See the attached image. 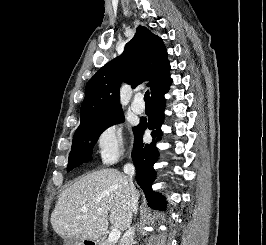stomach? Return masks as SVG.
Returning a JSON list of instances; mask_svg holds the SVG:
<instances>
[{
    "instance_id": "0dacf381",
    "label": "stomach",
    "mask_w": 266,
    "mask_h": 245,
    "mask_svg": "<svg viewBox=\"0 0 266 245\" xmlns=\"http://www.w3.org/2000/svg\"><path fill=\"white\" fill-rule=\"evenodd\" d=\"M89 243H91V241H79V239H76L75 243H73V245H89ZM93 245H97L96 241H92Z\"/></svg>"
}]
</instances>
